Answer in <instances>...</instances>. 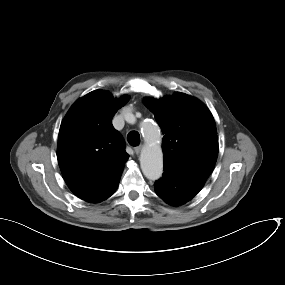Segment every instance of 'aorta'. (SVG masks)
<instances>
[{
  "label": "aorta",
  "instance_id": "1",
  "mask_svg": "<svg viewBox=\"0 0 285 285\" xmlns=\"http://www.w3.org/2000/svg\"><path fill=\"white\" fill-rule=\"evenodd\" d=\"M141 132L146 142L140 155L141 169L146 178L157 180L163 173L160 129L154 122L148 120L141 123Z\"/></svg>",
  "mask_w": 285,
  "mask_h": 285
}]
</instances>
